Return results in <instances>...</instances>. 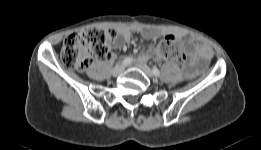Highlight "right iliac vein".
Returning a JSON list of instances; mask_svg holds the SVG:
<instances>
[{"instance_id":"obj_1","label":"right iliac vein","mask_w":261,"mask_h":150,"mask_svg":"<svg viewBox=\"0 0 261 150\" xmlns=\"http://www.w3.org/2000/svg\"><path fill=\"white\" fill-rule=\"evenodd\" d=\"M123 70H124L123 65H116L112 70V75L117 77L123 72Z\"/></svg>"}]
</instances>
